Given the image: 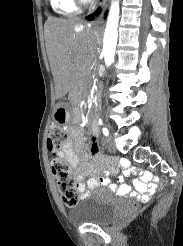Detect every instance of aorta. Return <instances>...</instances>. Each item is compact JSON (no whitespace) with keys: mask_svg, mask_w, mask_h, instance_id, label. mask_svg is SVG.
I'll use <instances>...</instances> for the list:
<instances>
[{"mask_svg":"<svg viewBox=\"0 0 183 246\" xmlns=\"http://www.w3.org/2000/svg\"><path fill=\"white\" fill-rule=\"evenodd\" d=\"M119 0H113L107 18L106 29L103 38V50L105 64L109 67L114 62L119 23Z\"/></svg>","mask_w":183,"mask_h":246,"instance_id":"1","label":"aorta"}]
</instances>
